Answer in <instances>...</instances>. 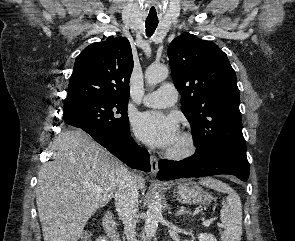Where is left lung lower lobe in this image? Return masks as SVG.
I'll list each match as a JSON object with an SVG mask.
<instances>
[{
	"label": "left lung lower lobe",
	"mask_w": 295,
	"mask_h": 241,
	"mask_svg": "<svg viewBox=\"0 0 295 241\" xmlns=\"http://www.w3.org/2000/svg\"><path fill=\"white\" fill-rule=\"evenodd\" d=\"M158 166L160 171L157 177L164 180L219 174L236 175L243 181L249 177L247 157L224 151H213L202 155L195 153L192 157L182 161L161 159Z\"/></svg>",
	"instance_id": "1"
}]
</instances>
